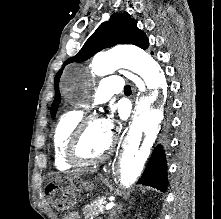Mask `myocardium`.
I'll return each instance as SVG.
<instances>
[{
  "mask_svg": "<svg viewBox=\"0 0 221 219\" xmlns=\"http://www.w3.org/2000/svg\"><path fill=\"white\" fill-rule=\"evenodd\" d=\"M94 120L98 119L96 117H87L81 120L80 123L74 129L70 139L68 140L65 150V157L73 166L85 167L101 162L112 153L115 147V138L112 135H110L108 147L102 154L91 159H85L80 156L79 147L81 144L83 134L86 128L88 127L89 123Z\"/></svg>",
  "mask_w": 221,
  "mask_h": 219,
  "instance_id": "1",
  "label": "myocardium"
}]
</instances>
